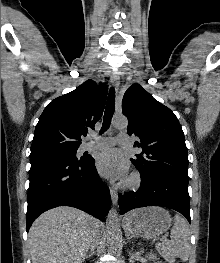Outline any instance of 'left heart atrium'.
<instances>
[{
  "mask_svg": "<svg viewBox=\"0 0 220 263\" xmlns=\"http://www.w3.org/2000/svg\"><path fill=\"white\" fill-rule=\"evenodd\" d=\"M95 165L99 173L109 179H123L128 173L127 160L115 149L100 152L96 157Z\"/></svg>",
  "mask_w": 220,
  "mask_h": 263,
  "instance_id": "obj_1",
  "label": "left heart atrium"
}]
</instances>
